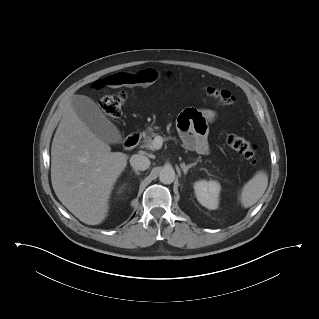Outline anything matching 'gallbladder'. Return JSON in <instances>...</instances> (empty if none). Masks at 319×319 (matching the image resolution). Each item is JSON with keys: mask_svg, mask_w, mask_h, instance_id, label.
I'll return each instance as SVG.
<instances>
[{"mask_svg": "<svg viewBox=\"0 0 319 319\" xmlns=\"http://www.w3.org/2000/svg\"><path fill=\"white\" fill-rule=\"evenodd\" d=\"M72 107L82 122L99 139L118 144L122 142V136L116 126L109 121L99 106L89 97L75 95L71 98Z\"/></svg>", "mask_w": 319, "mask_h": 319, "instance_id": "obj_1", "label": "gallbladder"}]
</instances>
